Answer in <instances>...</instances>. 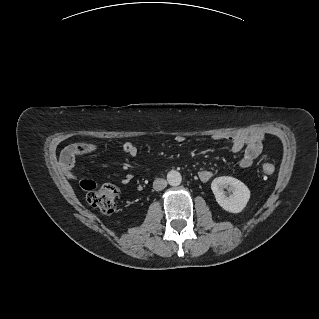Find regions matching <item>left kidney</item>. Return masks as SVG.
<instances>
[{
    "instance_id": "1",
    "label": "left kidney",
    "mask_w": 319,
    "mask_h": 319,
    "mask_svg": "<svg viewBox=\"0 0 319 319\" xmlns=\"http://www.w3.org/2000/svg\"><path fill=\"white\" fill-rule=\"evenodd\" d=\"M217 203L231 213L241 212L250 199L249 188L234 177H218L211 185ZM227 189L229 194L224 191Z\"/></svg>"
}]
</instances>
